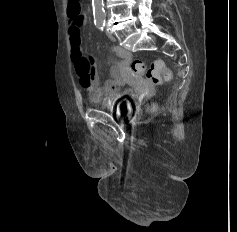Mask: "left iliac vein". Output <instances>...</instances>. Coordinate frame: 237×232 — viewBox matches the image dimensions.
<instances>
[{"mask_svg": "<svg viewBox=\"0 0 237 232\" xmlns=\"http://www.w3.org/2000/svg\"><path fill=\"white\" fill-rule=\"evenodd\" d=\"M107 36H108V38H109L110 40H112V41H115V40H116L115 36H114L111 32H109L108 30H107Z\"/></svg>", "mask_w": 237, "mask_h": 232, "instance_id": "left-iliac-vein-1", "label": "left iliac vein"}]
</instances>
